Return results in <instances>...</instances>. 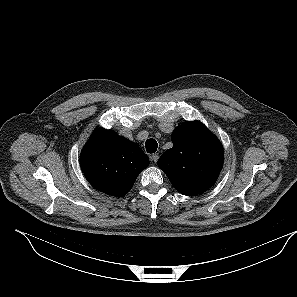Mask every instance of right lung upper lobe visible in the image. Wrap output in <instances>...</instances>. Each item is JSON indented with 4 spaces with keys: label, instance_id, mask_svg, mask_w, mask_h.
Listing matches in <instances>:
<instances>
[{
    "label": "right lung upper lobe",
    "instance_id": "obj_1",
    "mask_svg": "<svg viewBox=\"0 0 297 297\" xmlns=\"http://www.w3.org/2000/svg\"><path fill=\"white\" fill-rule=\"evenodd\" d=\"M148 165L149 158L137 144L102 128L91 135L80 155L81 169L90 184L119 197L129 192Z\"/></svg>",
    "mask_w": 297,
    "mask_h": 297
}]
</instances>
